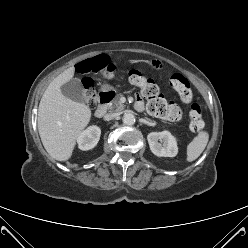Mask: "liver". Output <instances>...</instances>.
<instances>
[{"label":"liver","instance_id":"6515ba94","mask_svg":"<svg viewBox=\"0 0 248 248\" xmlns=\"http://www.w3.org/2000/svg\"><path fill=\"white\" fill-rule=\"evenodd\" d=\"M69 67L55 77L42 95L38 108V131L49 155L66 161L73 153L76 141L91 119V109L81 102L65 97L61 86L74 76Z\"/></svg>","mask_w":248,"mask_h":248}]
</instances>
